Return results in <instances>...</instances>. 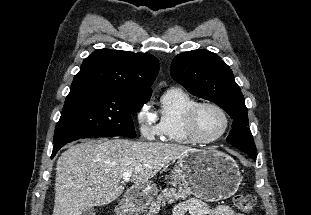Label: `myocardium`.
<instances>
[{
    "instance_id": "myocardium-1",
    "label": "myocardium",
    "mask_w": 311,
    "mask_h": 215,
    "mask_svg": "<svg viewBox=\"0 0 311 215\" xmlns=\"http://www.w3.org/2000/svg\"><path fill=\"white\" fill-rule=\"evenodd\" d=\"M203 107H212V108L216 109L221 114V116L223 117L224 126H223L222 130L216 136L206 138V137L201 136L199 134V132L197 131L196 118H197L198 112ZM184 126H185V131H186L188 137L194 143L210 144V143L218 141L227 132L228 127H229V117H228L227 112L224 110V108H222L217 103L210 102V101L197 102L194 105H192L187 110V112L185 113Z\"/></svg>"
}]
</instances>
